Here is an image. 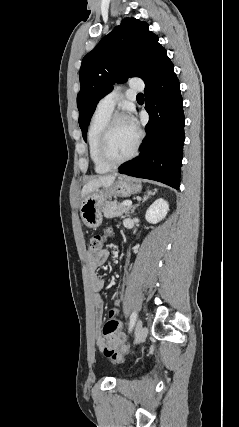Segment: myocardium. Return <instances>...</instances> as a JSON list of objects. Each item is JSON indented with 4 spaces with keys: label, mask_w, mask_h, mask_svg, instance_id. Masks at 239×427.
Returning <instances> with one entry per match:
<instances>
[{
    "label": "myocardium",
    "mask_w": 239,
    "mask_h": 427,
    "mask_svg": "<svg viewBox=\"0 0 239 427\" xmlns=\"http://www.w3.org/2000/svg\"><path fill=\"white\" fill-rule=\"evenodd\" d=\"M122 120H127L125 118L124 115L116 113L113 114L109 117V119L107 120L100 138H99V143H98V156L99 159L101 160V162L105 165H107L110 168L113 167H117L120 166L128 161H130L131 159H133L137 153H138V149L140 146V142H141V135L139 132H136V140H135V144L134 147L132 149V151L125 157L115 160L112 159L111 157H109L108 152H107V148H108V143H109V138H110V134L112 132V129L114 127V125Z\"/></svg>",
    "instance_id": "myocardium-1"
}]
</instances>
